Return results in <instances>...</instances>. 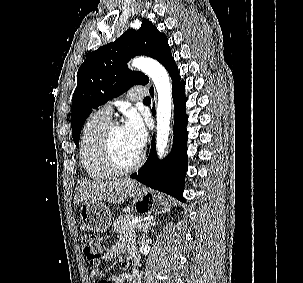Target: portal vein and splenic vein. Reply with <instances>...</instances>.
Masks as SVG:
<instances>
[{"label": "portal vein and splenic vein", "instance_id": "obj_1", "mask_svg": "<svg viewBox=\"0 0 303 283\" xmlns=\"http://www.w3.org/2000/svg\"><path fill=\"white\" fill-rule=\"evenodd\" d=\"M132 223H139L138 227L142 228L144 226V223L138 221V220H133Z\"/></svg>", "mask_w": 303, "mask_h": 283}]
</instances>
